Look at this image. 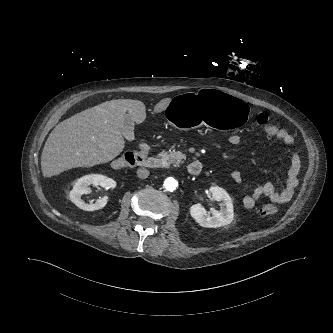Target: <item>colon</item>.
<instances>
[{
  "mask_svg": "<svg viewBox=\"0 0 333 333\" xmlns=\"http://www.w3.org/2000/svg\"><path fill=\"white\" fill-rule=\"evenodd\" d=\"M257 125L270 138H275L279 132V128L265 115L260 114L257 117ZM148 151L139 149L135 151L125 152L123 155L115 159L112 163L114 168L120 169L142 164L147 156ZM277 212V207L272 202L265 203L260 209L262 216H270Z\"/></svg>",
  "mask_w": 333,
  "mask_h": 333,
  "instance_id": "colon-1",
  "label": "colon"
}]
</instances>
